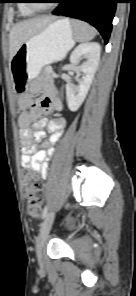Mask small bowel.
Masks as SVG:
<instances>
[{"instance_id": "c3829d8e", "label": "small bowel", "mask_w": 136, "mask_h": 296, "mask_svg": "<svg viewBox=\"0 0 136 296\" xmlns=\"http://www.w3.org/2000/svg\"><path fill=\"white\" fill-rule=\"evenodd\" d=\"M19 107L21 114L18 118V125L23 143L22 166L46 177L54 146L64 132L66 121L61 116L51 119L39 117L51 111L61 110V101L56 97L54 90H49L41 100H32L29 95L21 96ZM48 134L49 138L45 143L47 149H40L37 143Z\"/></svg>"}]
</instances>
